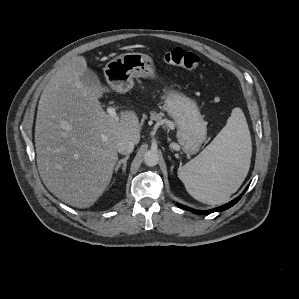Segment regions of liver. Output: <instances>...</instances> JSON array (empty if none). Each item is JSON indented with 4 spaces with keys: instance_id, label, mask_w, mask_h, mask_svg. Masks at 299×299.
<instances>
[{
    "instance_id": "liver-1",
    "label": "liver",
    "mask_w": 299,
    "mask_h": 299,
    "mask_svg": "<svg viewBox=\"0 0 299 299\" xmlns=\"http://www.w3.org/2000/svg\"><path fill=\"white\" fill-rule=\"evenodd\" d=\"M87 61H67L44 88L38 105L35 147L40 177L62 202L77 208L92 206L109 185L118 160V143L137 144L141 126L133 110L107 114L99 98L107 89L86 88L80 77Z\"/></svg>"
}]
</instances>
